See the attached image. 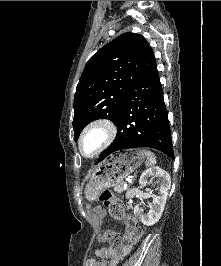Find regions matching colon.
I'll return each instance as SVG.
<instances>
[{"label": "colon", "instance_id": "5ec220e1", "mask_svg": "<svg viewBox=\"0 0 221 266\" xmlns=\"http://www.w3.org/2000/svg\"><path fill=\"white\" fill-rule=\"evenodd\" d=\"M99 200L107 208L109 215L115 220H122L125 224V233H118L107 230L100 236V241L107 242L115 246L124 243H136L142 236L143 231L136 218L124 213L121 201L115 195L105 190L100 194Z\"/></svg>", "mask_w": 221, "mask_h": 266}]
</instances>
